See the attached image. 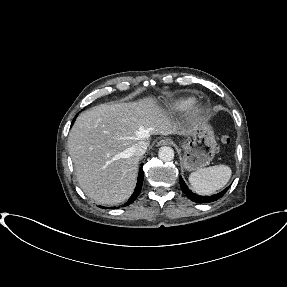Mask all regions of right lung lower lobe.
I'll use <instances>...</instances> for the list:
<instances>
[{
    "mask_svg": "<svg viewBox=\"0 0 287 287\" xmlns=\"http://www.w3.org/2000/svg\"><path fill=\"white\" fill-rule=\"evenodd\" d=\"M143 175H144L143 170H142V168H140L135 191L132 194V196L130 197V199L124 204V206H127V205L133 203L137 199L138 195L141 192V188H142V184H143ZM115 208H119V207H111L110 209H115Z\"/></svg>",
    "mask_w": 287,
    "mask_h": 287,
    "instance_id": "1",
    "label": "right lung lower lobe"
}]
</instances>
